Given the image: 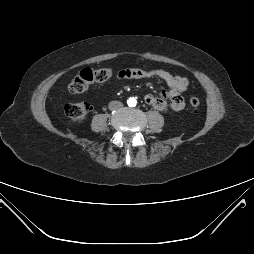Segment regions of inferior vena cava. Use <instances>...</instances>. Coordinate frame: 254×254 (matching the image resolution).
<instances>
[{"label":"inferior vena cava","instance_id":"602c4592","mask_svg":"<svg viewBox=\"0 0 254 254\" xmlns=\"http://www.w3.org/2000/svg\"><path fill=\"white\" fill-rule=\"evenodd\" d=\"M123 107V103L120 101H111L109 103V109L110 110H116V109H120Z\"/></svg>","mask_w":254,"mask_h":254}]
</instances>
